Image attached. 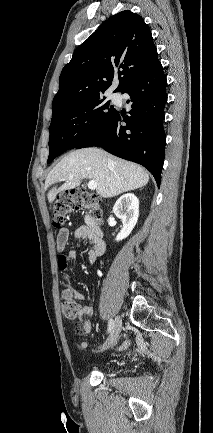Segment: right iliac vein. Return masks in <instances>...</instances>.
Here are the masks:
<instances>
[{
	"instance_id": "obj_1",
	"label": "right iliac vein",
	"mask_w": 213,
	"mask_h": 433,
	"mask_svg": "<svg viewBox=\"0 0 213 433\" xmlns=\"http://www.w3.org/2000/svg\"><path fill=\"white\" fill-rule=\"evenodd\" d=\"M121 328H122V319L120 316H117L115 318L114 326H113V329L111 331V334H110L107 342L103 345L102 350L107 349L109 346L113 345L116 342V340H117V338L121 332Z\"/></svg>"
}]
</instances>
